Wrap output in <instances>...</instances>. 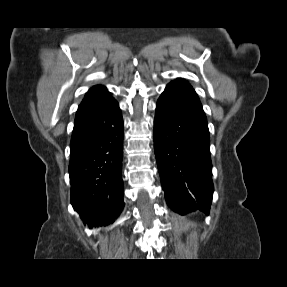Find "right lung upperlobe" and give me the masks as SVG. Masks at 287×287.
<instances>
[{
  "mask_svg": "<svg viewBox=\"0 0 287 287\" xmlns=\"http://www.w3.org/2000/svg\"><path fill=\"white\" fill-rule=\"evenodd\" d=\"M114 101L111 93L102 85L92 87L78 107L76 115L85 114L104 107Z\"/></svg>",
  "mask_w": 287,
  "mask_h": 287,
  "instance_id": "cb5924a9",
  "label": "right lung upper lobe"
}]
</instances>
